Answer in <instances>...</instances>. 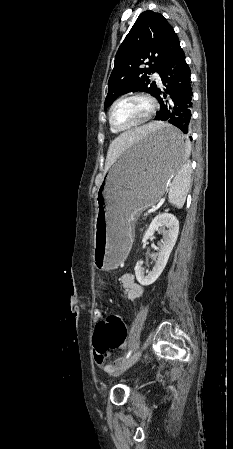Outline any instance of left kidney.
<instances>
[{
	"label": "left kidney",
	"mask_w": 233,
	"mask_h": 449,
	"mask_svg": "<svg viewBox=\"0 0 233 449\" xmlns=\"http://www.w3.org/2000/svg\"><path fill=\"white\" fill-rule=\"evenodd\" d=\"M155 232L163 234V242L160 245L155 266L152 270L147 271L146 274L144 268H142L141 261H138L135 266L136 279L142 286L153 284L163 272L178 237L179 221L172 214H158L152 220L143 237V245H145L146 241L151 238Z\"/></svg>",
	"instance_id": "1"
}]
</instances>
